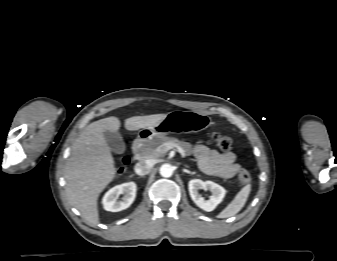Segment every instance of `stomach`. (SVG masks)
<instances>
[{"mask_svg":"<svg viewBox=\"0 0 337 261\" xmlns=\"http://www.w3.org/2000/svg\"><path fill=\"white\" fill-rule=\"evenodd\" d=\"M209 116L196 112L175 110L156 124L140 131V137L158 138L168 134L197 133L211 125ZM145 135V136H143Z\"/></svg>","mask_w":337,"mask_h":261,"instance_id":"stomach-1","label":"stomach"}]
</instances>
